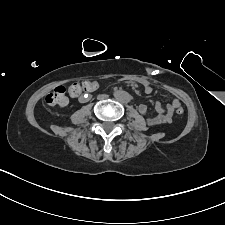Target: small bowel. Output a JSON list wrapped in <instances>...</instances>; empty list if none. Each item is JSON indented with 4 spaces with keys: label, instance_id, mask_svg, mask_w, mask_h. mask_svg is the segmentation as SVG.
Segmentation results:
<instances>
[{
    "label": "small bowel",
    "instance_id": "obj_1",
    "mask_svg": "<svg viewBox=\"0 0 225 225\" xmlns=\"http://www.w3.org/2000/svg\"><path fill=\"white\" fill-rule=\"evenodd\" d=\"M93 82V88L88 91L92 92L98 87V82L97 81H92ZM143 89L145 93L149 94L152 92V87L149 82H143L142 83ZM87 94L82 96L80 98L81 101H85L87 99ZM181 106L180 100L175 97L170 104H168L165 108L162 106V104L159 101L155 102V110L159 113V116L156 118L148 119V124L149 125H155L158 123H171L174 118V112L177 107ZM139 112L142 115H146L148 113V107L144 104H141L138 107Z\"/></svg>",
    "mask_w": 225,
    "mask_h": 225
}]
</instances>
